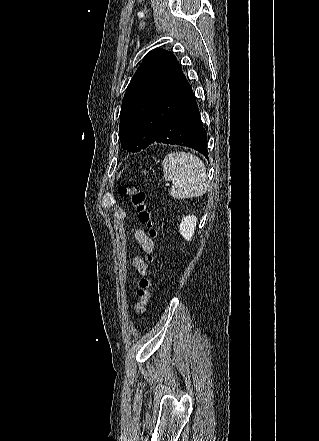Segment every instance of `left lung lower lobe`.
Returning a JSON list of instances; mask_svg holds the SVG:
<instances>
[{
  "mask_svg": "<svg viewBox=\"0 0 319 441\" xmlns=\"http://www.w3.org/2000/svg\"><path fill=\"white\" fill-rule=\"evenodd\" d=\"M154 142L186 146L208 158L207 133L201 122L192 87L157 129L151 140V143Z\"/></svg>",
  "mask_w": 319,
  "mask_h": 441,
  "instance_id": "left-lung-lower-lobe-1",
  "label": "left lung lower lobe"
}]
</instances>
